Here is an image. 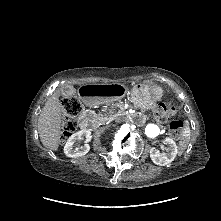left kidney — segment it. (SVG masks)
Returning a JSON list of instances; mask_svg holds the SVG:
<instances>
[{
	"mask_svg": "<svg viewBox=\"0 0 221 221\" xmlns=\"http://www.w3.org/2000/svg\"><path fill=\"white\" fill-rule=\"evenodd\" d=\"M165 143L167 144L166 153H160L156 148L150 150V158L156 165L166 166L170 164L178 153L177 145L172 138L167 137Z\"/></svg>",
	"mask_w": 221,
	"mask_h": 221,
	"instance_id": "1",
	"label": "left kidney"
}]
</instances>
